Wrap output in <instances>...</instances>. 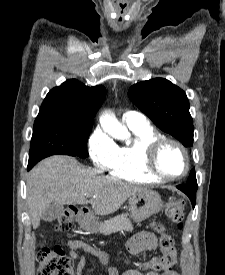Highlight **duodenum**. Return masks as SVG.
I'll use <instances>...</instances> for the list:
<instances>
[{
	"label": "duodenum",
	"mask_w": 225,
	"mask_h": 275,
	"mask_svg": "<svg viewBox=\"0 0 225 275\" xmlns=\"http://www.w3.org/2000/svg\"><path fill=\"white\" fill-rule=\"evenodd\" d=\"M87 213H88L87 209H82L79 213V219L82 220L86 216Z\"/></svg>",
	"instance_id": "410a0bca"
}]
</instances>
